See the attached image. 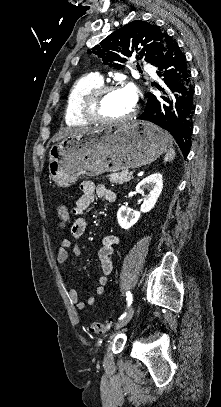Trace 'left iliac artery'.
<instances>
[{"mask_svg":"<svg viewBox=\"0 0 221 407\" xmlns=\"http://www.w3.org/2000/svg\"><path fill=\"white\" fill-rule=\"evenodd\" d=\"M127 296V303H128V307L132 304L133 301V297L132 294L130 292L126 293ZM126 316V313H124L123 315H121V317L119 318L120 320L123 319Z\"/></svg>","mask_w":221,"mask_h":407,"instance_id":"obj_1","label":"left iliac artery"}]
</instances>
